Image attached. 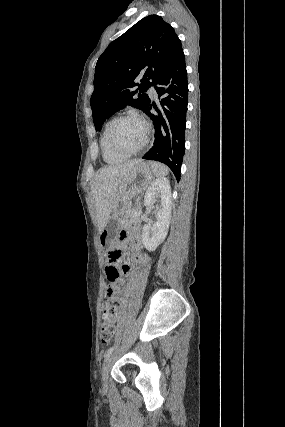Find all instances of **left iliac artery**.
<instances>
[{
  "instance_id": "left-iliac-artery-1",
  "label": "left iliac artery",
  "mask_w": 285,
  "mask_h": 427,
  "mask_svg": "<svg viewBox=\"0 0 285 427\" xmlns=\"http://www.w3.org/2000/svg\"><path fill=\"white\" fill-rule=\"evenodd\" d=\"M113 350H114V346L113 347H110L106 352H105V359H104V362H106L107 361V359L110 357V355L112 354V352H113ZM104 365V364H103Z\"/></svg>"
}]
</instances>
